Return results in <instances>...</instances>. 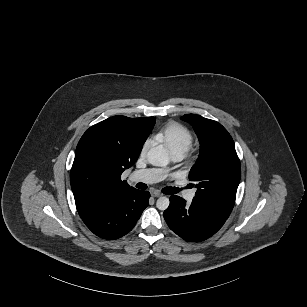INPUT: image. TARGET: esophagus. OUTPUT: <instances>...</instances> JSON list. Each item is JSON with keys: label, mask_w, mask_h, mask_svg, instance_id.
I'll return each mask as SVG.
<instances>
[{"label": "esophagus", "mask_w": 307, "mask_h": 307, "mask_svg": "<svg viewBox=\"0 0 307 307\" xmlns=\"http://www.w3.org/2000/svg\"><path fill=\"white\" fill-rule=\"evenodd\" d=\"M151 196H152V197H155V198H158V197L162 196V194H161L160 192H158V191H153V192L151 193Z\"/></svg>", "instance_id": "obj_1"}]
</instances>
